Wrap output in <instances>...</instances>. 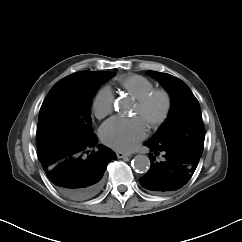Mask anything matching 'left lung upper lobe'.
I'll use <instances>...</instances> for the list:
<instances>
[{"label":"left lung upper lobe","instance_id":"left-lung-upper-lobe-1","mask_svg":"<svg viewBox=\"0 0 242 242\" xmlns=\"http://www.w3.org/2000/svg\"><path fill=\"white\" fill-rule=\"evenodd\" d=\"M147 73L164 85L172 101L167 120L148 142L163 147L183 148L202 155L205 129L196 97L182 80L172 75L155 71Z\"/></svg>","mask_w":242,"mask_h":242}]
</instances>
